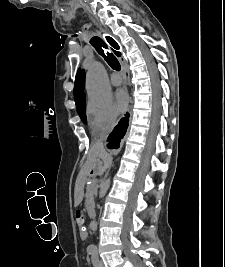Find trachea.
I'll use <instances>...</instances> for the list:
<instances>
[{
	"label": "trachea",
	"mask_w": 225,
	"mask_h": 267,
	"mask_svg": "<svg viewBox=\"0 0 225 267\" xmlns=\"http://www.w3.org/2000/svg\"><path fill=\"white\" fill-rule=\"evenodd\" d=\"M110 39L112 40L111 42H109L110 45L117 49L118 45L115 42V40H113L112 38ZM90 42L92 46L97 50V52L104 57L105 61L109 64V66L112 69L120 71L121 66L119 61L117 60V58L114 56L113 53H109L107 51L108 48L107 44L100 37L94 36ZM104 52H106V54Z\"/></svg>",
	"instance_id": "3493384b"
}]
</instances>
